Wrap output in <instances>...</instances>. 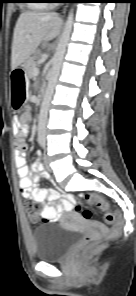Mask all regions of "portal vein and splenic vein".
<instances>
[{"mask_svg": "<svg viewBox=\"0 0 136 296\" xmlns=\"http://www.w3.org/2000/svg\"><path fill=\"white\" fill-rule=\"evenodd\" d=\"M27 37L29 38L30 36L28 35ZM33 73H34L35 76L38 75V73H39V69H38L37 67L34 68Z\"/></svg>", "mask_w": 136, "mask_h": 296, "instance_id": "1", "label": "portal vein and splenic vein"}]
</instances>
